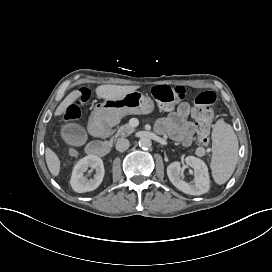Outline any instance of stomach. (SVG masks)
<instances>
[{
	"label": "stomach",
	"instance_id": "1",
	"mask_svg": "<svg viewBox=\"0 0 272 272\" xmlns=\"http://www.w3.org/2000/svg\"><path fill=\"white\" fill-rule=\"evenodd\" d=\"M105 106L119 116L127 114H148L154 109L153 100L139 91H132L117 99H106Z\"/></svg>",
	"mask_w": 272,
	"mask_h": 272
}]
</instances>
